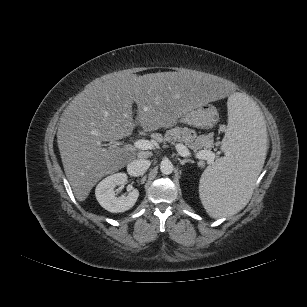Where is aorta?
Wrapping results in <instances>:
<instances>
[{
	"label": "aorta",
	"mask_w": 307,
	"mask_h": 307,
	"mask_svg": "<svg viewBox=\"0 0 307 307\" xmlns=\"http://www.w3.org/2000/svg\"><path fill=\"white\" fill-rule=\"evenodd\" d=\"M173 164L169 160H163L160 164L162 174L169 175L173 172Z\"/></svg>",
	"instance_id": "762f6f07"
}]
</instances>
